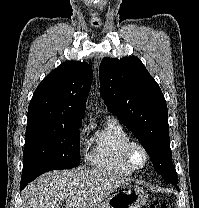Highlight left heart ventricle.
<instances>
[{
	"instance_id": "left-heart-ventricle-1",
	"label": "left heart ventricle",
	"mask_w": 199,
	"mask_h": 208,
	"mask_svg": "<svg viewBox=\"0 0 199 208\" xmlns=\"http://www.w3.org/2000/svg\"><path fill=\"white\" fill-rule=\"evenodd\" d=\"M132 158L134 162L138 165H141L144 162V155L140 148L134 147L132 150Z\"/></svg>"
}]
</instances>
